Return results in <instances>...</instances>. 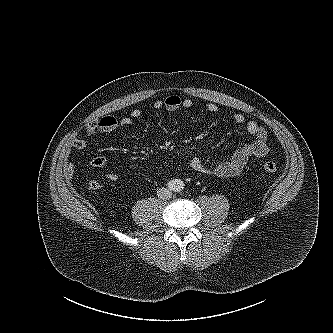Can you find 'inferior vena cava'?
Masks as SVG:
<instances>
[{
	"instance_id": "inferior-vena-cava-1",
	"label": "inferior vena cava",
	"mask_w": 333,
	"mask_h": 333,
	"mask_svg": "<svg viewBox=\"0 0 333 333\" xmlns=\"http://www.w3.org/2000/svg\"><path fill=\"white\" fill-rule=\"evenodd\" d=\"M158 198L168 200L172 197V192L169 189L161 188L157 191Z\"/></svg>"
}]
</instances>
